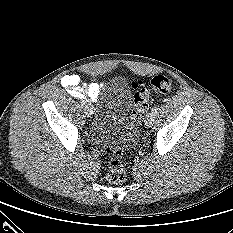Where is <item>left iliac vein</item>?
Instances as JSON below:
<instances>
[{
  "label": "left iliac vein",
  "instance_id": "4c4485c4",
  "mask_svg": "<svg viewBox=\"0 0 233 233\" xmlns=\"http://www.w3.org/2000/svg\"><path fill=\"white\" fill-rule=\"evenodd\" d=\"M154 119H155V114L152 112L148 113V115L146 116L145 125L148 128L152 127L154 123Z\"/></svg>",
  "mask_w": 233,
  "mask_h": 233
}]
</instances>
